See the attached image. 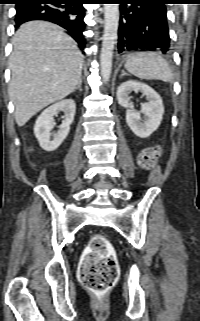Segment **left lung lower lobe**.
Segmentation results:
<instances>
[{
  "label": "left lung lower lobe",
  "instance_id": "1",
  "mask_svg": "<svg viewBox=\"0 0 200 321\" xmlns=\"http://www.w3.org/2000/svg\"><path fill=\"white\" fill-rule=\"evenodd\" d=\"M120 4L118 52L135 49L169 51L165 4L169 0H116Z\"/></svg>",
  "mask_w": 200,
  "mask_h": 321
}]
</instances>
